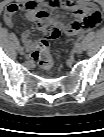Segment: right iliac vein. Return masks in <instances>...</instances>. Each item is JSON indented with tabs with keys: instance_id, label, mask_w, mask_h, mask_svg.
Segmentation results:
<instances>
[{
	"instance_id": "obj_1",
	"label": "right iliac vein",
	"mask_w": 104,
	"mask_h": 137,
	"mask_svg": "<svg viewBox=\"0 0 104 137\" xmlns=\"http://www.w3.org/2000/svg\"><path fill=\"white\" fill-rule=\"evenodd\" d=\"M18 52L21 54V55H24L25 54V51L24 49L21 47V48H18Z\"/></svg>"
}]
</instances>
